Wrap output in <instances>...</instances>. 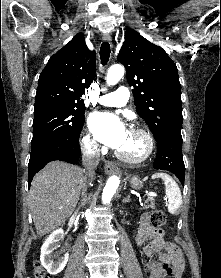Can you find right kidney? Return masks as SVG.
Returning <instances> with one entry per match:
<instances>
[{"label":"right kidney","mask_w":221,"mask_h":278,"mask_svg":"<svg viewBox=\"0 0 221 278\" xmlns=\"http://www.w3.org/2000/svg\"><path fill=\"white\" fill-rule=\"evenodd\" d=\"M63 236L64 231L62 229H57L45 240L41 247V264L51 275L60 273L66 266L69 258L68 253H64L61 257H59V255H52Z\"/></svg>","instance_id":"right-kidney-1"}]
</instances>
